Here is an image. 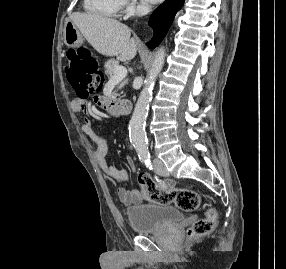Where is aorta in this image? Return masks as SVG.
Here are the masks:
<instances>
[{
    "label": "aorta",
    "instance_id": "762f6f07",
    "mask_svg": "<svg viewBox=\"0 0 286 269\" xmlns=\"http://www.w3.org/2000/svg\"><path fill=\"white\" fill-rule=\"evenodd\" d=\"M165 49L161 47L157 50L151 69L145 80L138 101L136 103L132 118L129 123V137L136 152L140 157H148V145L145 132L146 118L149 103L152 98V90L158 74L160 73L165 61Z\"/></svg>",
    "mask_w": 286,
    "mask_h": 269
}]
</instances>
